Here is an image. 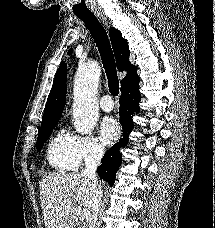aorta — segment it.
<instances>
[{
	"label": "aorta",
	"instance_id": "aorta-1",
	"mask_svg": "<svg viewBox=\"0 0 215 228\" xmlns=\"http://www.w3.org/2000/svg\"><path fill=\"white\" fill-rule=\"evenodd\" d=\"M100 76L97 62L78 68L75 78L73 124L78 134L93 132L98 120L96 92Z\"/></svg>",
	"mask_w": 215,
	"mask_h": 228
}]
</instances>
